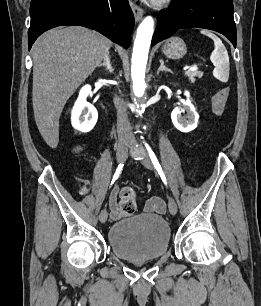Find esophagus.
I'll list each match as a JSON object with an SVG mask.
<instances>
[{"instance_id":"1","label":"esophagus","mask_w":261,"mask_h":306,"mask_svg":"<svg viewBox=\"0 0 261 306\" xmlns=\"http://www.w3.org/2000/svg\"><path fill=\"white\" fill-rule=\"evenodd\" d=\"M130 5H131V9L133 11L135 20L137 22L140 21V19L143 16V9L140 6H138L136 3H134L133 1L130 2Z\"/></svg>"}]
</instances>
